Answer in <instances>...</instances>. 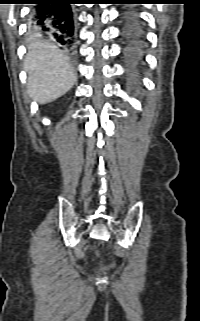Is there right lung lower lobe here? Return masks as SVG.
Segmentation results:
<instances>
[{
  "label": "right lung lower lobe",
  "mask_w": 200,
  "mask_h": 321,
  "mask_svg": "<svg viewBox=\"0 0 200 321\" xmlns=\"http://www.w3.org/2000/svg\"><path fill=\"white\" fill-rule=\"evenodd\" d=\"M31 26L50 32L62 45L73 48L74 12L76 0H31Z\"/></svg>",
  "instance_id": "obj_1"
}]
</instances>
